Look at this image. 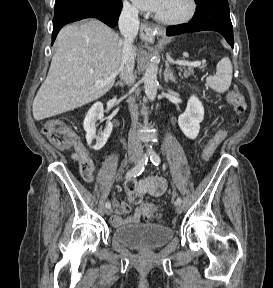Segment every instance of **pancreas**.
<instances>
[{
	"label": "pancreas",
	"instance_id": "obj_1",
	"mask_svg": "<svg viewBox=\"0 0 273 288\" xmlns=\"http://www.w3.org/2000/svg\"><path fill=\"white\" fill-rule=\"evenodd\" d=\"M178 70L180 71L179 75L181 76V72H182L185 78H188L190 75L194 73V70L191 67L178 68Z\"/></svg>",
	"mask_w": 273,
	"mask_h": 288
}]
</instances>
